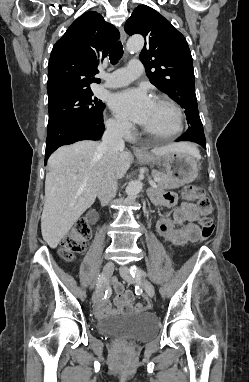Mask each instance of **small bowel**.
I'll return each mask as SVG.
<instances>
[{"mask_svg":"<svg viewBox=\"0 0 249 382\" xmlns=\"http://www.w3.org/2000/svg\"><path fill=\"white\" fill-rule=\"evenodd\" d=\"M155 204L174 207L171 217L163 216L157 222V230L166 240L177 245L197 240L200 229L196 224L200 213L197 207L188 202L178 203V199L173 193L154 194ZM116 297L114 307H111L108 299H103L97 304V314L104 316L119 312H130L133 302V294L124 290L123 284L114 279L112 281Z\"/></svg>","mask_w":249,"mask_h":382,"instance_id":"1","label":"small bowel"}]
</instances>
